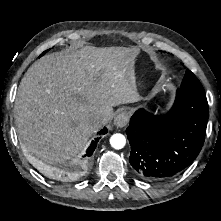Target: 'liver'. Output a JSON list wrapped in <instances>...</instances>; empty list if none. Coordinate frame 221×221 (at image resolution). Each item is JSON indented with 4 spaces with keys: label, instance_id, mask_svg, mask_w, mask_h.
I'll return each instance as SVG.
<instances>
[{
    "label": "liver",
    "instance_id": "liver-1",
    "mask_svg": "<svg viewBox=\"0 0 221 221\" xmlns=\"http://www.w3.org/2000/svg\"><path fill=\"white\" fill-rule=\"evenodd\" d=\"M137 47L85 46L49 54L27 70L14 113L26 156L40 163L78 154L94 130V114L113 118V106L140 100L136 88Z\"/></svg>",
    "mask_w": 221,
    "mask_h": 221
}]
</instances>
